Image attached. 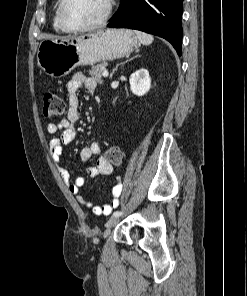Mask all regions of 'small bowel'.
I'll return each instance as SVG.
<instances>
[{
  "label": "small bowel",
  "mask_w": 247,
  "mask_h": 296,
  "mask_svg": "<svg viewBox=\"0 0 247 296\" xmlns=\"http://www.w3.org/2000/svg\"><path fill=\"white\" fill-rule=\"evenodd\" d=\"M93 93L96 89V82L92 78L84 76L82 73H76L68 81L66 88L68 92V109L65 119L58 123H50L48 125V132L55 135L60 132L59 137H54L49 142V153L52 161L54 162L61 178L68 186L69 191L76 196L78 202L85 207L91 208L94 215H109L113 208L118 205L119 197L122 191V185L118 180L112 189V199L109 203L102 206L94 205L90 200L85 198L80 190L85 184L84 177L71 178L70 171L63 165L62 150L63 146L74 141L76 137L75 124L80 119L78 90L81 86ZM98 156L95 164L88 167V175L91 179L99 175H109L113 171V167L106 161L105 158L100 156V146L97 143L84 146L80 152V159L83 162L89 161L92 157Z\"/></svg>",
  "instance_id": "c3829d8e"
}]
</instances>
